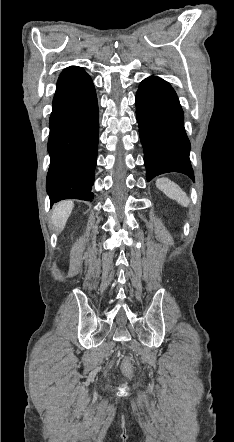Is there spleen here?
I'll return each instance as SVG.
<instances>
[{"label": "spleen", "instance_id": "3e777b00", "mask_svg": "<svg viewBox=\"0 0 234 442\" xmlns=\"http://www.w3.org/2000/svg\"><path fill=\"white\" fill-rule=\"evenodd\" d=\"M156 186L167 197L172 200H176L182 206L187 207L189 205V198L186 193L173 181L168 178H159L156 180Z\"/></svg>", "mask_w": 234, "mask_h": 442}]
</instances>
